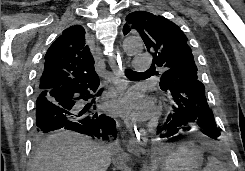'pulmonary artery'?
Segmentation results:
<instances>
[{"label":"pulmonary artery","mask_w":245,"mask_h":171,"mask_svg":"<svg viewBox=\"0 0 245 171\" xmlns=\"http://www.w3.org/2000/svg\"><path fill=\"white\" fill-rule=\"evenodd\" d=\"M133 60L137 71H144L150 66V59L147 55H136Z\"/></svg>","instance_id":"1"}]
</instances>
